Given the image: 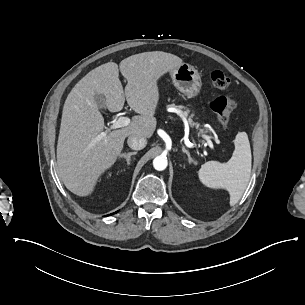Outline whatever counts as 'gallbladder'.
<instances>
[{
  "label": "gallbladder",
  "mask_w": 305,
  "mask_h": 305,
  "mask_svg": "<svg viewBox=\"0 0 305 305\" xmlns=\"http://www.w3.org/2000/svg\"><path fill=\"white\" fill-rule=\"evenodd\" d=\"M95 102L99 108H106V98L102 94H95Z\"/></svg>",
  "instance_id": "obj_1"
}]
</instances>
